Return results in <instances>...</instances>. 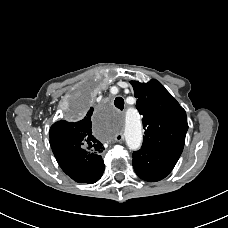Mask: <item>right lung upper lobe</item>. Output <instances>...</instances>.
<instances>
[{"instance_id": "cb5924a9", "label": "right lung upper lobe", "mask_w": 228, "mask_h": 228, "mask_svg": "<svg viewBox=\"0 0 228 228\" xmlns=\"http://www.w3.org/2000/svg\"><path fill=\"white\" fill-rule=\"evenodd\" d=\"M92 113L93 107L78 121L60 120L51 126L50 145L56 158L73 152L82 156L102 153L103 144L92 133Z\"/></svg>"}]
</instances>
